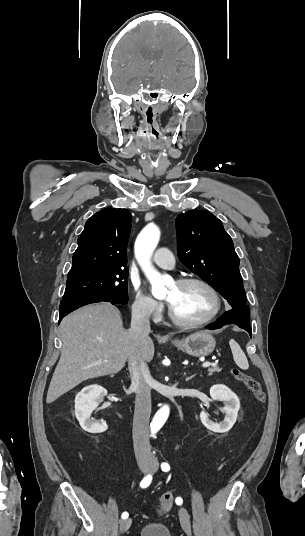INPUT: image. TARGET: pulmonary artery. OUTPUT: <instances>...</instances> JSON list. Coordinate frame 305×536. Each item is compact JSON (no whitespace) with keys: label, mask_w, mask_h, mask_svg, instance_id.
<instances>
[{"label":"pulmonary artery","mask_w":305,"mask_h":536,"mask_svg":"<svg viewBox=\"0 0 305 536\" xmlns=\"http://www.w3.org/2000/svg\"><path fill=\"white\" fill-rule=\"evenodd\" d=\"M168 252L167 248H159L153 253L151 260L159 267L172 269L175 265V260L173 256L167 254Z\"/></svg>","instance_id":"pulmonary-artery-1"}]
</instances>
